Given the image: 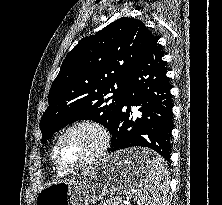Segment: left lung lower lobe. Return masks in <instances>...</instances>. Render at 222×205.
Returning <instances> with one entry per match:
<instances>
[{"label": "left lung lower lobe", "mask_w": 222, "mask_h": 205, "mask_svg": "<svg viewBox=\"0 0 222 205\" xmlns=\"http://www.w3.org/2000/svg\"><path fill=\"white\" fill-rule=\"evenodd\" d=\"M162 57L157 39L151 34L124 83L120 109L109 131L112 135L109 152L143 146L169 161L173 103ZM125 106L127 109L123 110ZM131 106L139 107L141 118H130Z\"/></svg>", "instance_id": "left-lung-lower-lobe-1"}]
</instances>
